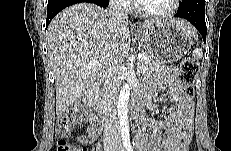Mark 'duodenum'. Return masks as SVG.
Wrapping results in <instances>:
<instances>
[{
	"label": "duodenum",
	"mask_w": 231,
	"mask_h": 151,
	"mask_svg": "<svg viewBox=\"0 0 231 151\" xmlns=\"http://www.w3.org/2000/svg\"><path fill=\"white\" fill-rule=\"evenodd\" d=\"M97 87L93 86L89 95L84 99L83 105L91 112V118L94 122L105 121L107 119V112L104 109L96 107ZM142 103L138 98L133 100L134 113L138 117H142Z\"/></svg>",
	"instance_id": "obj_1"
}]
</instances>
